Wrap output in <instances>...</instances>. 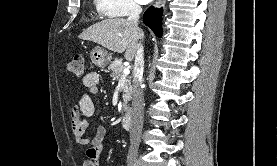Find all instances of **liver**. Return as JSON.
I'll use <instances>...</instances> for the list:
<instances>
[{"mask_svg": "<svg viewBox=\"0 0 277 166\" xmlns=\"http://www.w3.org/2000/svg\"><path fill=\"white\" fill-rule=\"evenodd\" d=\"M144 33L137 25L124 18L105 19L84 30L79 38L97 43L110 51L124 53L131 61L140 47Z\"/></svg>", "mask_w": 277, "mask_h": 166, "instance_id": "1", "label": "liver"}]
</instances>
